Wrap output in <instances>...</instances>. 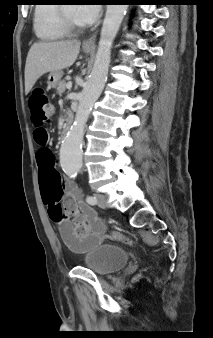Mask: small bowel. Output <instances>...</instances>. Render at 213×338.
Returning <instances> with one entry per match:
<instances>
[{
    "label": "small bowel",
    "instance_id": "obj_1",
    "mask_svg": "<svg viewBox=\"0 0 213 338\" xmlns=\"http://www.w3.org/2000/svg\"><path fill=\"white\" fill-rule=\"evenodd\" d=\"M45 169L50 174V181L43 178L45 169L39 173V183L47 204L57 194L60 186L64 188L66 199L64 212L72 221L62 220L59 223V232L64 244L74 253H86L107 239L103 222L98 218L96 211L79 198L78 189L69 180L60 176L56 170V161L47 148Z\"/></svg>",
    "mask_w": 213,
    "mask_h": 338
}]
</instances>
